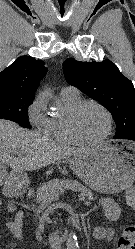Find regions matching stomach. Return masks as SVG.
<instances>
[{"instance_id": "obj_1", "label": "stomach", "mask_w": 135, "mask_h": 249, "mask_svg": "<svg viewBox=\"0 0 135 249\" xmlns=\"http://www.w3.org/2000/svg\"><path fill=\"white\" fill-rule=\"evenodd\" d=\"M73 172L91 189L107 194L119 193L135 180V143L106 141L85 149L69 160ZM20 177L18 184L25 185L27 178Z\"/></svg>"}]
</instances>
